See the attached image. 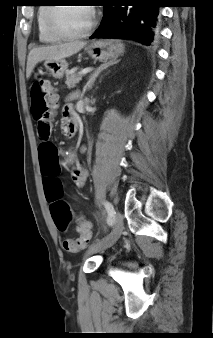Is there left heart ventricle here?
<instances>
[{"mask_svg":"<svg viewBox=\"0 0 213 338\" xmlns=\"http://www.w3.org/2000/svg\"><path fill=\"white\" fill-rule=\"evenodd\" d=\"M91 11L85 6L60 7L54 15L56 27L64 33H79L89 24Z\"/></svg>","mask_w":213,"mask_h":338,"instance_id":"obj_1","label":"left heart ventricle"}]
</instances>
